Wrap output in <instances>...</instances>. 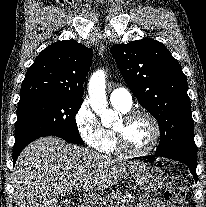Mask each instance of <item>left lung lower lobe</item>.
Returning a JSON list of instances; mask_svg holds the SVG:
<instances>
[{
    "instance_id": "0a47b994",
    "label": "left lung lower lobe",
    "mask_w": 206,
    "mask_h": 207,
    "mask_svg": "<svg viewBox=\"0 0 206 207\" xmlns=\"http://www.w3.org/2000/svg\"><path fill=\"white\" fill-rule=\"evenodd\" d=\"M159 156L170 158V159L185 163L189 167L193 177L197 181V174H196L197 156L177 154V153L155 154L154 156L143 157L144 159H146L144 160V162H152L155 160L156 157H159Z\"/></svg>"
}]
</instances>
